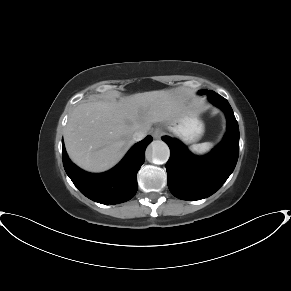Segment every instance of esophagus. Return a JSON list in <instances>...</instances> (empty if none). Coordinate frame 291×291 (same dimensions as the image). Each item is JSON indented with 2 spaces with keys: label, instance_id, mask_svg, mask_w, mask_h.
Here are the masks:
<instances>
[{
  "label": "esophagus",
  "instance_id": "obj_1",
  "mask_svg": "<svg viewBox=\"0 0 291 291\" xmlns=\"http://www.w3.org/2000/svg\"><path fill=\"white\" fill-rule=\"evenodd\" d=\"M164 134V131L161 128H156L153 132H152V136L155 139H159L162 135Z\"/></svg>",
  "mask_w": 291,
  "mask_h": 291
}]
</instances>
